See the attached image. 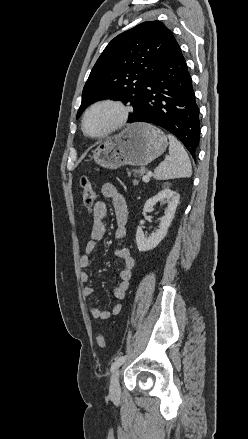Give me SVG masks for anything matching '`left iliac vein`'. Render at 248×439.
Returning <instances> with one entry per match:
<instances>
[{
  "label": "left iliac vein",
  "instance_id": "left-iliac-vein-1",
  "mask_svg": "<svg viewBox=\"0 0 248 439\" xmlns=\"http://www.w3.org/2000/svg\"><path fill=\"white\" fill-rule=\"evenodd\" d=\"M120 371L116 370L110 380L109 395L111 399H118L120 396V383H119Z\"/></svg>",
  "mask_w": 248,
  "mask_h": 439
}]
</instances>
